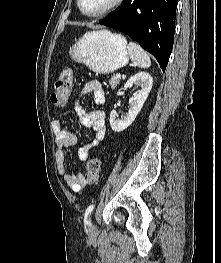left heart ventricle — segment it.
Instances as JSON below:
<instances>
[{
	"label": "left heart ventricle",
	"instance_id": "b2bd125f",
	"mask_svg": "<svg viewBox=\"0 0 221 263\" xmlns=\"http://www.w3.org/2000/svg\"><path fill=\"white\" fill-rule=\"evenodd\" d=\"M112 0H82V7L89 13L104 9Z\"/></svg>",
	"mask_w": 221,
	"mask_h": 263
}]
</instances>
